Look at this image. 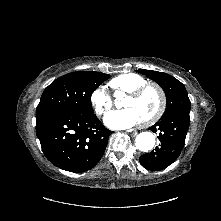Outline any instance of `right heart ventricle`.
<instances>
[{
  "label": "right heart ventricle",
  "instance_id": "e07e8e85",
  "mask_svg": "<svg viewBox=\"0 0 221 221\" xmlns=\"http://www.w3.org/2000/svg\"><path fill=\"white\" fill-rule=\"evenodd\" d=\"M147 80L135 73H126L116 76L111 79L108 83V86L112 89V91L117 93H129L140 85L146 83Z\"/></svg>",
  "mask_w": 221,
  "mask_h": 221
}]
</instances>
